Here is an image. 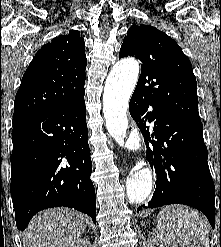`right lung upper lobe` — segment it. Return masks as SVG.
Here are the masks:
<instances>
[{"label":"right lung upper lobe","instance_id":"cb5924a9","mask_svg":"<svg viewBox=\"0 0 221 247\" xmlns=\"http://www.w3.org/2000/svg\"><path fill=\"white\" fill-rule=\"evenodd\" d=\"M84 39L71 30L44 45L23 75L13 118L68 105L85 94Z\"/></svg>","mask_w":221,"mask_h":247}]
</instances>
